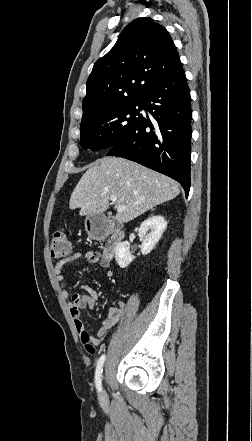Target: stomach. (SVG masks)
Listing matches in <instances>:
<instances>
[{
  "instance_id": "stomach-1",
  "label": "stomach",
  "mask_w": 252,
  "mask_h": 441,
  "mask_svg": "<svg viewBox=\"0 0 252 441\" xmlns=\"http://www.w3.org/2000/svg\"><path fill=\"white\" fill-rule=\"evenodd\" d=\"M91 226H92V217L88 216L85 220V229L89 234L91 233Z\"/></svg>"
}]
</instances>
